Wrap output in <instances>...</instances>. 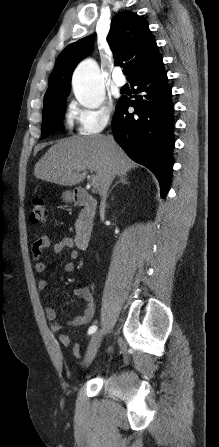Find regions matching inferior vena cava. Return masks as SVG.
Here are the masks:
<instances>
[{
  "mask_svg": "<svg viewBox=\"0 0 219 447\" xmlns=\"http://www.w3.org/2000/svg\"><path fill=\"white\" fill-rule=\"evenodd\" d=\"M110 138L112 139V137H110ZM114 177H115V173H112V174L107 178L106 186L104 187L103 192H102V203L105 202L108 188H109L111 182L113 181Z\"/></svg>",
  "mask_w": 219,
  "mask_h": 447,
  "instance_id": "602c4592",
  "label": "inferior vena cava"
}]
</instances>
